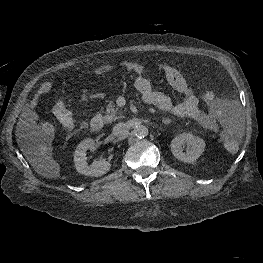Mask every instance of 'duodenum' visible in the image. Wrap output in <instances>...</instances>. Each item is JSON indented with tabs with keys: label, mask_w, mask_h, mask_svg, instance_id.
<instances>
[{
	"label": "duodenum",
	"mask_w": 263,
	"mask_h": 263,
	"mask_svg": "<svg viewBox=\"0 0 263 263\" xmlns=\"http://www.w3.org/2000/svg\"><path fill=\"white\" fill-rule=\"evenodd\" d=\"M104 126V119L101 114H96L90 122V127L93 131L98 132L102 130Z\"/></svg>",
	"instance_id": "410a0bca"
}]
</instances>
